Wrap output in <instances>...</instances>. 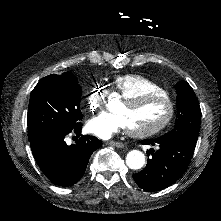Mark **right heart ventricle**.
I'll return each instance as SVG.
<instances>
[{"mask_svg": "<svg viewBox=\"0 0 221 221\" xmlns=\"http://www.w3.org/2000/svg\"><path fill=\"white\" fill-rule=\"evenodd\" d=\"M118 85L121 91V97H134L156 95L163 97L166 94V89L162 84L151 80L144 76H122L118 78Z\"/></svg>", "mask_w": 221, "mask_h": 221, "instance_id": "e07e8e85", "label": "right heart ventricle"}]
</instances>
